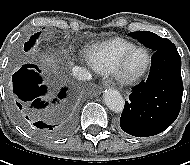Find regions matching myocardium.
I'll use <instances>...</instances> for the list:
<instances>
[{
    "instance_id": "f54148a6",
    "label": "myocardium",
    "mask_w": 190,
    "mask_h": 165,
    "mask_svg": "<svg viewBox=\"0 0 190 165\" xmlns=\"http://www.w3.org/2000/svg\"><path fill=\"white\" fill-rule=\"evenodd\" d=\"M139 50H143L146 52L147 54V63L145 65V67L139 71L138 73L135 74H129L127 72V62L129 60V58L137 51ZM152 66V55L151 52L148 48L144 47V46H135L133 48H131L130 50H128L120 59L118 66L115 70V76L117 78V80L122 83V84H134L138 81H140L150 70Z\"/></svg>"
}]
</instances>
